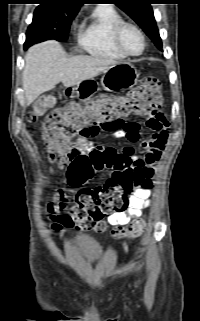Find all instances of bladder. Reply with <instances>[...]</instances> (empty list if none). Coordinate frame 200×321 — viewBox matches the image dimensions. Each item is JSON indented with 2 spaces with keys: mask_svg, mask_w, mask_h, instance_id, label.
<instances>
[{
  "mask_svg": "<svg viewBox=\"0 0 200 321\" xmlns=\"http://www.w3.org/2000/svg\"><path fill=\"white\" fill-rule=\"evenodd\" d=\"M71 249L80 257L89 261H94L102 256L104 252L103 245L95 238L76 233L69 240Z\"/></svg>",
  "mask_w": 200,
  "mask_h": 321,
  "instance_id": "obj_1",
  "label": "bladder"
}]
</instances>
